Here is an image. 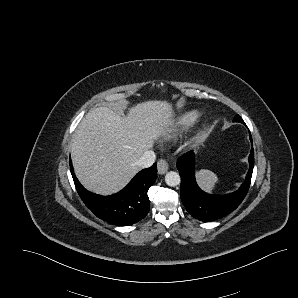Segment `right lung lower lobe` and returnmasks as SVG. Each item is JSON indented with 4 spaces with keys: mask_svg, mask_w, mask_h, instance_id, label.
<instances>
[{
    "mask_svg": "<svg viewBox=\"0 0 298 298\" xmlns=\"http://www.w3.org/2000/svg\"><path fill=\"white\" fill-rule=\"evenodd\" d=\"M72 177L85 205L100 219L117 226L132 225L143 219L150 210L149 187L157 178V167L140 171L120 192L100 196L87 191L78 181L70 164Z\"/></svg>",
    "mask_w": 298,
    "mask_h": 298,
    "instance_id": "1",
    "label": "right lung lower lobe"
}]
</instances>
